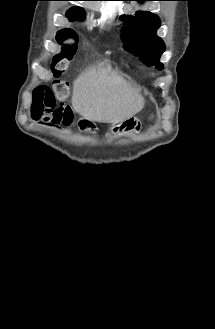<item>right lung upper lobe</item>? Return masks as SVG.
I'll return each mask as SVG.
<instances>
[{
	"mask_svg": "<svg viewBox=\"0 0 215 329\" xmlns=\"http://www.w3.org/2000/svg\"><path fill=\"white\" fill-rule=\"evenodd\" d=\"M68 18L73 20L74 18H80L81 20L84 19L85 12L81 8H72L67 13Z\"/></svg>",
	"mask_w": 215,
	"mask_h": 329,
	"instance_id": "1",
	"label": "right lung upper lobe"
}]
</instances>
